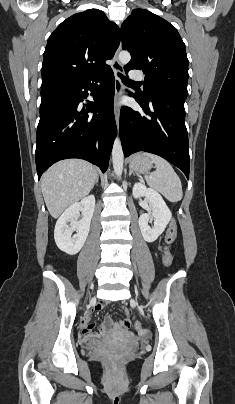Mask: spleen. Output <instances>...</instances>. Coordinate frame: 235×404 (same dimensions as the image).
Masks as SVG:
<instances>
[{
  "mask_svg": "<svg viewBox=\"0 0 235 404\" xmlns=\"http://www.w3.org/2000/svg\"><path fill=\"white\" fill-rule=\"evenodd\" d=\"M156 166V171L146 175L147 183L158 190L170 202H178L183 197L182 184L168 161L151 153H144Z\"/></svg>",
  "mask_w": 235,
  "mask_h": 404,
  "instance_id": "3e777b00",
  "label": "spleen"
}]
</instances>
